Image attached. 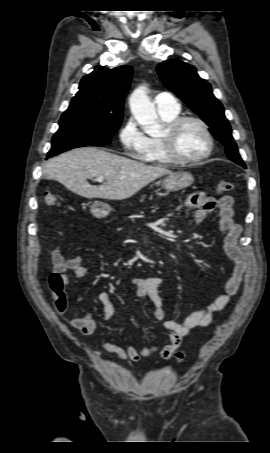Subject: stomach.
<instances>
[{
    "label": "stomach",
    "instance_id": "obj_1",
    "mask_svg": "<svg viewBox=\"0 0 270 453\" xmlns=\"http://www.w3.org/2000/svg\"><path fill=\"white\" fill-rule=\"evenodd\" d=\"M194 182L193 176L189 172L170 173L162 182V186L167 191H178L191 186ZM91 213L96 218H104L111 212V207L103 202L95 201L91 205Z\"/></svg>",
    "mask_w": 270,
    "mask_h": 453
}]
</instances>
